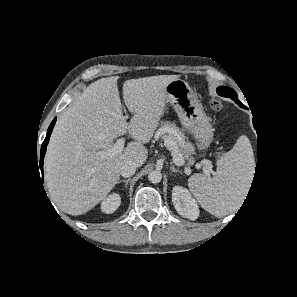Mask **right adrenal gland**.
I'll list each match as a JSON object with an SVG mask.
<instances>
[{"mask_svg":"<svg viewBox=\"0 0 297 297\" xmlns=\"http://www.w3.org/2000/svg\"><path fill=\"white\" fill-rule=\"evenodd\" d=\"M129 181H130V178H128V179H124V180H118L117 183H118V184H120V183H125V187L127 188V185H128V183H129Z\"/></svg>","mask_w":297,"mask_h":297,"instance_id":"right-adrenal-gland-1","label":"right adrenal gland"}]
</instances>
